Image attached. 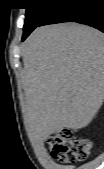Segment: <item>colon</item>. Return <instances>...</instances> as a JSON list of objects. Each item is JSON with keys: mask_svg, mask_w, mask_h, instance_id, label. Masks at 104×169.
Returning a JSON list of instances; mask_svg holds the SVG:
<instances>
[{"mask_svg": "<svg viewBox=\"0 0 104 169\" xmlns=\"http://www.w3.org/2000/svg\"><path fill=\"white\" fill-rule=\"evenodd\" d=\"M51 156L62 163H73L86 159L92 151V143L86 138H77L75 132L63 129L47 139Z\"/></svg>", "mask_w": 104, "mask_h": 169, "instance_id": "colon-1", "label": "colon"}]
</instances>
